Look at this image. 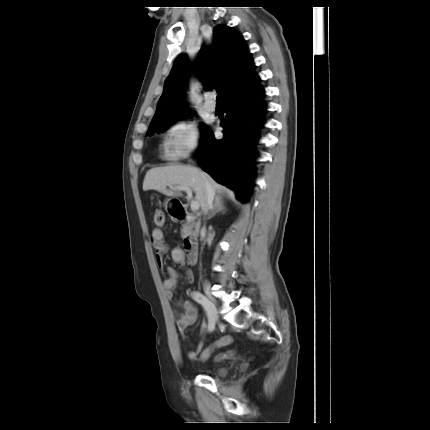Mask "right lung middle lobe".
Masks as SVG:
<instances>
[{"label":"right lung middle lobe","mask_w":430,"mask_h":430,"mask_svg":"<svg viewBox=\"0 0 430 430\" xmlns=\"http://www.w3.org/2000/svg\"><path fill=\"white\" fill-rule=\"evenodd\" d=\"M184 114H185V112H182V113H180V114H178V115H175V116H173V117H171V118H169V119H167V120H165V121H162V122H159V123H157V124L151 125V126L149 127L148 131H147V134H148V135H151V134H153V133H154V131H156V132H161V131L166 130L170 125H172V123H173V122H175V121L177 120V118L182 117ZM207 132H208V130H207V129H205V130H204L203 137L205 136V134H206Z\"/></svg>","instance_id":"1"}]
</instances>
